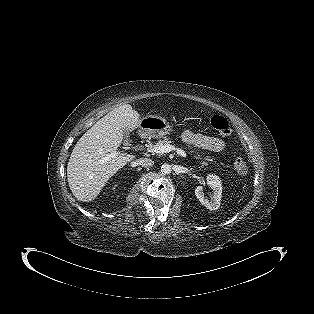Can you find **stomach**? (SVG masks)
<instances>
[{"label": "stomach", "instance_id": "1", "mask_svg": "<svg viewBox=\"0 0 314 314\" xmlns=\"http://www.w3.org/2000/svg\"><path fill=\"white\" fill-rule=\"evenodd\" d=\"M139 128L142 133L155 138H161L170 134L172 127L169 125L165 118L160 116H146L141 119Z\"/></svg>", "mask_w": 314, "mask_h": 314}]
</instances>
